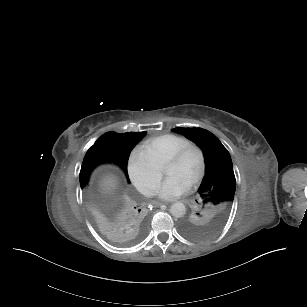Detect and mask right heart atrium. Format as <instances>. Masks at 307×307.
I'll return each instance as SVG.
<instances>
[{"label": "right heart atrium", "instance_id": "right-heart-atrium-1", "mask_svg": "<svg viewBox=\"0 0 307 307\" xmlns=\"http://www.w3.org/2000/svg\"><path fill=\"white\" fill-rule=\"evenodd\" d=\"M127 170L132 184L142 193H149L159 177V162L144 142L134 144L128 153Z\"/></svg>", "mask_w": 307, "mask_h": 307}]
</instances>
